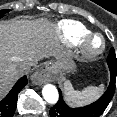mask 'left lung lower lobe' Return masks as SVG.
<instances>
[{
    "mask_svg": "<svg viewBox=\"0 0 117 117\" xmlns=\"http://www.w3.org/2000/svg\"><path fill=\"white\" fill-rule=\"evenodd\" d=\"M109 66V65H108ZM111 80L110 84L105 91V93L94 103L80 107V108H71L63 100L61 90L59 89V100L58 102L50 109L49 114L51 117H99L109 102L113 98L115 92V83L117 75V66H109Z\"/></svg>",
    "mask_w": 117,
    "mask_h": 117,
    "instance_id": "0a47b994",
    "label": "left lung lower lobe"
}]
</instances>
